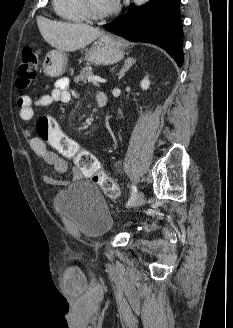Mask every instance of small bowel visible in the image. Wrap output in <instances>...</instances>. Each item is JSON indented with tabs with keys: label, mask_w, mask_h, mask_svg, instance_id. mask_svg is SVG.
<instances>
[{
	"label": "small bowel",
	"mask_w": 233,
	"mask_h": 328,
	"mask_svg": "<svg viewBox=\"0 0 233 328\" xmlns=\"http://www.w3.org/2000/svg\"><path fill=\"white\" fill-rule=\"evenodd\" d=\"M74 92L68 88V82L65 79L56 82L54 88L49 94L36 99L29 96H20L17 100L18 114L22 122V133L28 140L31 149L42 162L50 165L57 173H65L68 169L66 160L57 153L50 151L44 141L33 136L29 126L30 120L34 115V107H47L56 102H68ZM74 177H82L81 171L74 167ZM43 180L49 185H66L68 182L57 180L51 176L44 175ZM65 290L69 295H81L87 289V279L81 269L77 266L68 267L64 273Z\"/></svg>",
	"instance_id": "1"
}]
</instances>
